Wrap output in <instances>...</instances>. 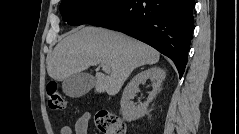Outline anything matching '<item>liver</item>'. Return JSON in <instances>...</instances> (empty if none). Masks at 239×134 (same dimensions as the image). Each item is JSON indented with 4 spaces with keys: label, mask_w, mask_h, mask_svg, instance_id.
<instances>
[{
    "label": "liver",
    "mask_w": 239,
    "mask_h": 134,
    "mask_svg": "<svg viewBox=\"0 0 239 134\" xmlns=\"http://www.w3.org/2000/svg\"><path fill=\"white\" fill-rule=\"evenodd\" d=\"M157 50L119 32L100 27L74 30L54 48L47 66L48 75L57 81L104 63L108 75L96 73L95 92L117 94L131 72L142 65L159 61Z\"/></svg>",
    "instance_id": "obj_1"
}]
</instances>
